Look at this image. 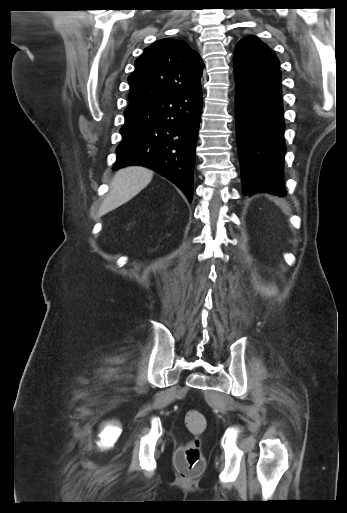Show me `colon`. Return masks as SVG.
Instances as JSON below:
<instances>
[{
	"label": "colon",
	"instance_id": "1",
	"mask_svg": "<svg viewBox=\"0 0 347 513\" xmlns=\"http://www.w3.org/2000/svg\"><path fill=\"white\" fill-rule=\"evenodd\" d=\"M185 425L193 438L181 448L175 463L180 475L190 479L197 477L204 468L200 437L206 429V418L197 410H189L185 414Z\"/></svg>",
	"mask_w": 347,
	"mask_h": 513
}]
</instances>
